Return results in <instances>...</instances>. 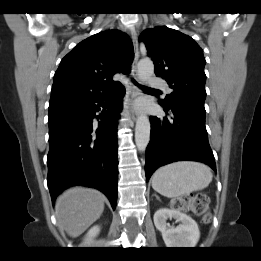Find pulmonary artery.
<instances>
[{
  "label": "pulmonary artery",
  "mask_w": 261,
  "mask_h": 261,
  "mask_svg": "<svg viewBox=\"0 0 261 261\" xmlns=\"http://www.w3.org/2000/svg\"><path fill=\"white\" fill-rule=\"evenodd\" d=\"M150 86L154 89L162 90L168 92L169 89L163 79L153 78L150 80Z\"/></svg>",
  "instance_id": "obj_1"
}]
</instances>
